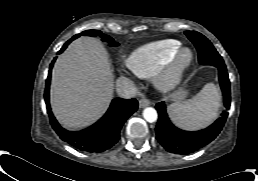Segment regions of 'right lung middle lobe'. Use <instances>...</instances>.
Masks as SVG:
<instances>
[{
  "mask_svg": "<svg viewBox=\"0 0 258 181\" xmlns=\"http://www.w3.org/2000/svg\"><path fill=\"white\" fill-rule=\"evenodd\" d=\"M80 35H88V36H92V37L99 36L102 39V41H105L111 47H116V46L119 45L110 36L102 34L101 31H99V30H86V31H84L80 34H77V35L73 36L70 41L76 39Z\"/></svg>",
  "mask_w": 258,
  "mask_h": 181,
  "instance_id": "1",
  "label": "right lung middle lobe"
}]
</instances>
